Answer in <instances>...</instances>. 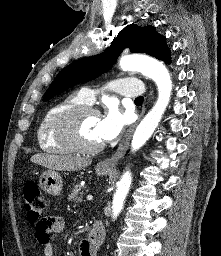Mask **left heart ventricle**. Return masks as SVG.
<instances>
[{
  "label": "left heart ventricle",
  "mask_w": 221,
  "mask_h": 256,
  "mask_svg": "<svg viewBox=\"0 0 221 256\" xmlns=\"http://www.w3.org/2000/svg\"><path fill=\"white\" fill-rule=\"evenodd\" d=\"M98 123L99 116L96 114H88L82 119L79 137L83 144L94 146L102 142L97 131Z\"/></svg>",
  "instance_id": "1"
}]
</instances>
